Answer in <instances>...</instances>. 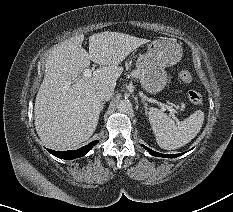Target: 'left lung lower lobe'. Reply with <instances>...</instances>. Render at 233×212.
Listing matches in <instances>:
<instances>
[{"instance_id": "obj_1", "label": "left lung lower lobe", "mask_w": 233, "mask_h": 212, "mask_svg": "<svg viewBox=\"0 0 233 212\" xmlns=\"http://www.w3.org/2000/svg\"><path fill=\"white\" fill-rule=\"evenodd\" d=\"M151 155L153 156H157V157H166V158H175V157H178L182 154H161V153H158V152H155L149 148H147L146 146L142 145Z\"/></svg>"}]
</instances>
